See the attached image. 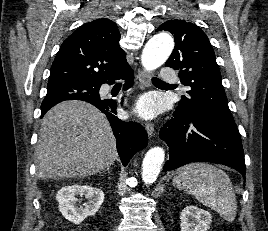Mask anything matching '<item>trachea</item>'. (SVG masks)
Instances as JSON below:
<instances>
[{"label":"trachea","instance_id":"1","mask_svg":"<svg viewBox=\"0 0 268 231\" xmlns=\"http://www.w3.org/2000/svg\"><path fill=\"white\" fill-rule=\"evenodd\" d=\"M154 82H161V83H165L164 81L160 80L159 78L153 77L152 79Z\"/></svg>","mask_w":268,"mask_h":231}]
</instances>
